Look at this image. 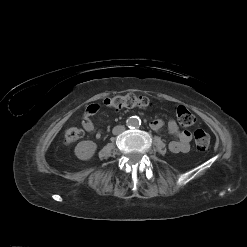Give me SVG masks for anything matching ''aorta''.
<instances>
[{
	"instance_id": "1",
	"label": "aorta",
	"mask_w": 247,
	"mask_h": 247,
	"mask_svg": "<svg viewBox=\"0 0 247 247\" xmlns=\"http://www.w3.org/2000/svg\"><path fill=\"white\" fill-rule=\"evenodd\" d=\"M128 127H137L140 125L141 121L137 116H131L126 121Z\"/></svg>"
}]
</instances>
